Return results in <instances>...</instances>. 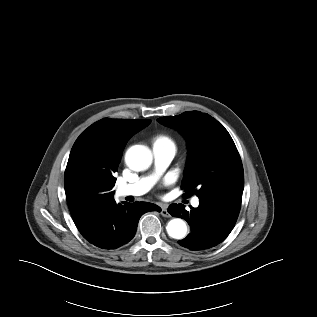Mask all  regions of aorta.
<instances>
[{"label":"aorta","instance_id":"obj_1","mask_svg":"<svg viewBox=\"0 0 317 317\" xmlns=\"http://www.w3.org/2000/svg\"><path fill=\"white\" fill-rule=\"evenodd\" d=\"M152 153L150 149L143 145L130 147L125 155L126 164L135 171L148 169L152 163ZM168 235L174 239H182L187 234V225L180 218L170 220L166 226Z\"/></svg>","mask_w":317,"mask_h":317}]
</instances>
